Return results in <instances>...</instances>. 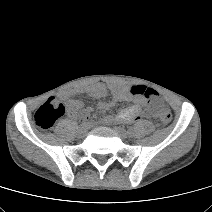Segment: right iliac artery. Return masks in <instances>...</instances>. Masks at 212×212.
Here are the masks:
<instances>
[{
    "instance_id": "obj_1",
    "label": "right iliac artery",
    "mask_w": 212,
    "mask_h": 212,
    "mask_svg": "<svg viewBox=\"0 0 212 212\" xmlns=\"http://www.w3.org/2000/svg\"><path fill=\"white\" fill-rule=\"evenodd\" d=\"M90 122H82L81 126H88Z\"/></svg>"
}]
</instances>
